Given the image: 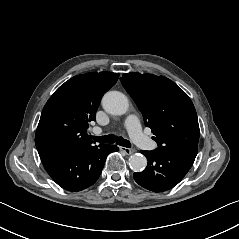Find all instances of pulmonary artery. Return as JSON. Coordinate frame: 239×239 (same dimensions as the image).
Returning a JSON list of instances; mask_svg holds the SVG:
<instances>
[{"instance_id":"1","label":"pulmonary artery","mask_w":239,"mask_h":239,"mask_svg":"<svg viewBox=\"0 0 239 239\" xmlns=\"http://www.w3.org/2000/svg\"><path fill=\"white\" fill-rule=\"evenodd\" d=\"M125 126L128 131L129 137L137 145L141 146L143 141L148 140L149 137L143 134L141 125L136 116L130 115L126 118ZM94 135H99L101 129L99 127H94L91 129Z\"/></svg>"}]
</instances>
